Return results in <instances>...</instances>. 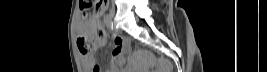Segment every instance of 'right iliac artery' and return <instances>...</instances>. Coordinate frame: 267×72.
I'll list each match as a JSON object with an SVG mask.
<instances>
[{"instance_id":"right-iliac-artery-1","label":"right iliac artery","mask_w":267,"mask_h":72,"mask_svg":"<svg viewBox=\"0 0 267 72\" xmlns=\"http://www.w3.org/2000/svg\"><path fill=\"white\" fill-rule=\"evenodd\" d=\"M104 23L108 28H111V29L113 28L112 18L109 15H105Z\"/></svg>"}]
</instances>
